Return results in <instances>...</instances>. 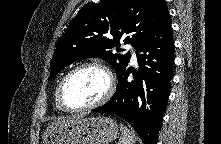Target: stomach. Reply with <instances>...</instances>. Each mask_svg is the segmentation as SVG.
<instances>
[{"label": "stomach", "instance_id": "0dacf381", "mask_svg": "<svg viewBox=\"0 0 221 144\" xmlns=\"http://www.w3.org/2000/svg\"><path fill=\"white\" fill-rule=\"evenodd\" d=\"M117 135L118 126L113 119L85 117L48 136L45 144H109Z\"/></svg>", "mask_w": 221, "mask_h": 144}]
</instances>
